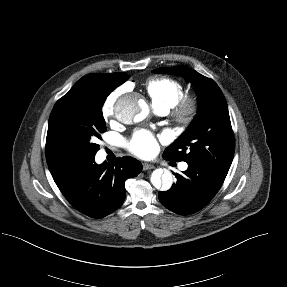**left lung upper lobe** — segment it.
Masks as SVG:
<instances>
[{
    "label": "left lung upper lobe",
    "instance_id": "left-lung-upper-lobe-1",
    "mask_svg": "<svg viewBox=\"0 0 287 287\" xmlns=\"http://www.w3.org/2000/svg\"><path fill=\"white\" fill-rule=\"evenodd\" d=\"M156 73L181 75L194 86L198 113L187 130L170 146L163 158L201 164L226 176L231 166L235 140L226 99L218 85L197 71L185 67H161Z\"/></svg>",
    "mask_w": 287,
    "mask_h": 287
}]
</instances>
